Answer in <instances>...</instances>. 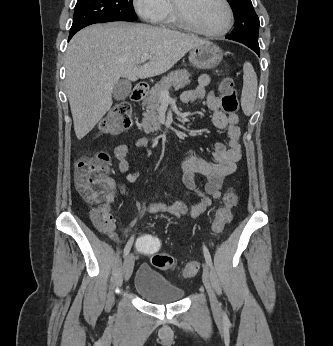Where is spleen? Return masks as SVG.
Here are the masks:
<instances>
[{
	"instance_id": "spleen-1",
	"label": "spleen",
	"mask_w": 333,
	"mask_h": 346,
	"mask_svg": "<svg viewBox=\"0 0 333 346\" xmlns=\"http://www.w3.org/2000/svg\"><path fill=\"white\" fill-rule=\"evenodd\" d=\"M243 89L241 95V106L246 115L253 112L257 94V75L251 63L246 62L243 66Z\"/></svg>"
}]
</instances>
